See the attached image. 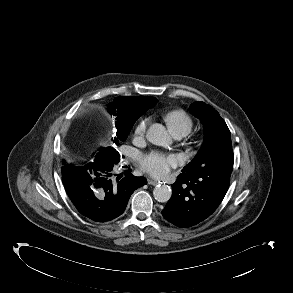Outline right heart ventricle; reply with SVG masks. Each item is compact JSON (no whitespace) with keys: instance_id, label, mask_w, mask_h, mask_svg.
Listing matches in <instances>:
<instances>
[{"instance_id":"right-heart-ventricle-1","label":"right heart ventricle","mask_w":293,"mask_h":293,"mask_svg":"<svg viewBox=\"0 0 293 293\" xmlns=\"http://www.w3.org/2000/svg\"><path fill=\"white\" fill-rule=\"evenodd\" d=\"M163 118L173 135L186 136L193 128L192 118L181 109H173L166 112Z\"/></svg>"}]
</instances>
